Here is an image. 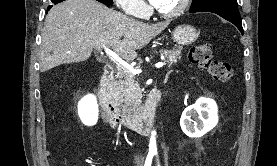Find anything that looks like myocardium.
<instances>
[{
    "label": "myocardium",
    "instance_id": "myocardium-1",
    "mask_svg": "<svg viewBox=\"0 0 277 166\" xmlns=\"http://www.w3.org/2000/svg\"><path fill=\"white\" fill-rule=\"evenodd\" d=\"M189 3H190V0H181V3L179 4V6L172 11L164 12V11H161L158 8H156L155 12L158 16H160L162 18L172 19V18L178 17L182 13H184V11L187 9Z\"/></svg>",
    "mask_w": 277,
    "mask_h": 166
}]
</instances>
